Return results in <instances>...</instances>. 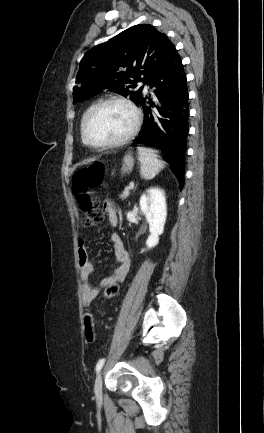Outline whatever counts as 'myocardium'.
Masks as SVG:
<instances>
[{
	"instance_id": "1",
	"label": "myocardium",
	"mask_w": 264,
	"mask_h": 433,
	"mask_svg": "<svg viewBox=\"0 0 264 433\" xmlns=\"http://www.w3.org/2000/svg\"><path fill=\"white\" fill-rule=\"evenodd\" d=\"M110 103L121 104L130 110V112L133 115L132 126L128 130L127 133H125L122 137H120L118 139L103 142V143H94L93 141L90 140V138L87 135V130H86L87 129V123H88L90 117L93 115V113L97 109H99L100 107H102L106 104H110ZM141 121H142L141 112L138 109V107L131 100L124 98V97H120V96H111V97L103 98V99L98 100L96 103H94L85 113V115L82 119V123H81L82 139L88 146L93 147V148L117 147V146H120V145L128 142L131 138H133L135 136V134L138 132V130L140 128Z\"/></svg>"
}]
</instances>
